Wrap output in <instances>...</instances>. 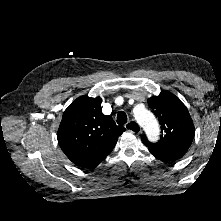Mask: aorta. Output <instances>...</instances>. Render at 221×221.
I'll return each instance as SVG.
<instances>
[{
    "label": "aorta",
    "mask_w": 221,
    "mask_h": 221,
    "mask_svg": "<svg viewBox=\"0 0 221 221\" xmlns=\"http://www.w3.org/2000/svg\"><path fill=\"white\" fill-rule=\"evenodd\" d=\"M137 122L145 130L147 137L151 141H156L159 138V126L155 116L146 108L136 107L133 111Z\"/></svg>",
    "instance_id": "762f6f07"
}]
</instances>
